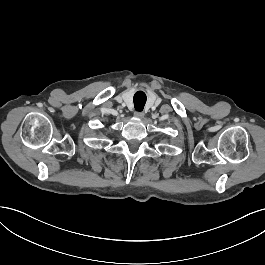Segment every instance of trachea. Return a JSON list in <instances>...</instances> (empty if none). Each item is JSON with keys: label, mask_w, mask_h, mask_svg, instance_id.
Masks as SVG:
<instances>
[{"label": "trachea", "mask_w": 265, "mask_h": 265, "mask_svg": "<svg viewBox=\"0 0 265 265\" xmlns=\"http://www.w3.org/2000/svg\"><path fill=\"white\" fill-rule=\"evenodd\" d=\"M147 97L144 92H137L134 95L133 101H134V107L137 112H142L144 105L146 103Z\"/></svg>", "instance_id": "obj_1"}]
</instances>
